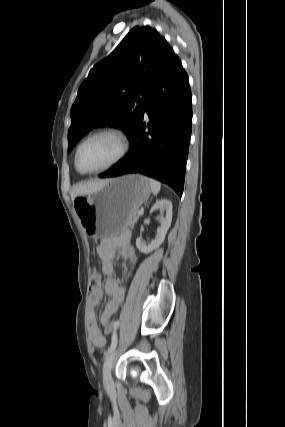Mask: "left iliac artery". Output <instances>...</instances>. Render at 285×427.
I'll list each match as a JSON object with an SVG mask.
<instances>
[{
    "instance_id": "44dca946",
    "label": "left iliac artery",
    "mask_w": 285,
    "mask_h": 427,
    "mask_svg": "<svg viewBox=\"0 0 285 427\" xmlns=\"http://www.w3.org/2000/svg\"><path fill=\"white\" fill-rule=\"evenodd\" d=\"M116 345H117V335H116V333H114V334H113V336H112L111 345H110V347L108 348V350H107V352L105 353V355L109 354L112 350H114V349H115V347H116Z\"/></svg>"
}]
</instances>
